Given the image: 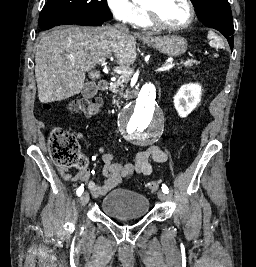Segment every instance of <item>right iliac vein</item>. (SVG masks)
<instances>
[{"mask_svg": "<svg viewBox=\"0 0 256 267\" xmlns=\"http://www.w3.org/2000/svg\"><path fill=\"white\" fill-rule=\"evenodd\" d=\"M89 202V194L87 192H84L80 196V203L82 206H85Z\"/></svg>", "mask_w": 256, "mask_h": 267, "instance_id": "1", "label": "right iliac vein"}]
</instances>
